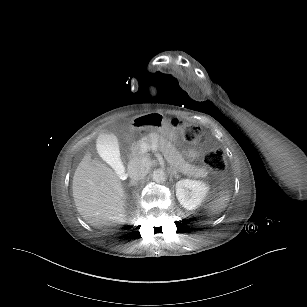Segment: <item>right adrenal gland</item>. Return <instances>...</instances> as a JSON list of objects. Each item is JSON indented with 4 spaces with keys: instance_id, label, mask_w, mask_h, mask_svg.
<instances>
[{
    "instance_id": "2a0ac1e0",
    "label": "right adrenal gland",
    "mask_w": 307,
    "mask_h": 307,
    "mask_svg": "<svg viewBox=\"0 0 307 307\" xmlns=\"http://www.w3.org/2000/svg\"><path fill=\"white\" fill-rule=\"evenodd\" d=\"M136 183L134 181H131L130 186L135 185Z\"/></svg>"
}]
</instances>
